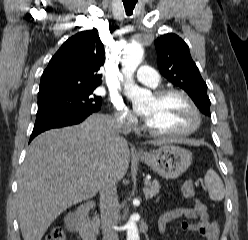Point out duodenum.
Returning a JSON list of instances; mask_svg holds the SVG:
<instances>
[{
  "instance_id": "duodenum-1",
  "label": "duodenum",
  "mask_w": 248,
  "mask_h": 240,
  "mask_svg": "<svg viewBox=\"0 0 248 240\" xmlns=\"http://www.w3.org/2000/svg\"><path fill=\"white\" fill-rule=\"evenodd\" d=\"M92 207V203L81 205L77 209L75 213V219L72 222V226L81 234L83 240H99L96 228L90 223L88 219V213Z\"/></svg>"
}]
</instances>
